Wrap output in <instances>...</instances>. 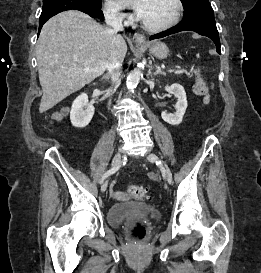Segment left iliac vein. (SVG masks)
Segmentation results:
<instances>
[{
  "label": "left iliac vein",
  "instance_id": "left-iliac-vein-1",
  "mask_svg": "<svg viewBox=\"0 0 261 273\" xmlns=\"http://www.w3.org/2000/svg\"><path fill=\"white\" fill-rule=\"evenodd\" d=\"M146 158L151 161V162H157L159 161V157L153 153H148L146 155ZM162 167H163V173H164V176H165V179L171 183L172 182V173L170 171V169L168 168V166L166 164H162Z\"/></svg>",
  "mask_w": 261,
  "mask_h": 273
}]
</instances>
